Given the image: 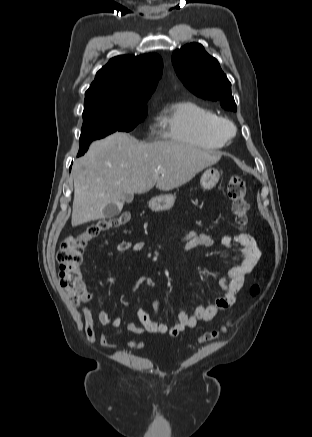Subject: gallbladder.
<instances>
[{
	"label": "gallbladder",
	"instance_id": "bac80fb5",
	"mask_svg": "<svg viewBox=\"0 0 312 437\" xmlns=\"http://www.w3.org/2000/svg\"><path fill=\"white\" fill-rule=\"evenodd\" d=\"M132 200H133V194L126 193L124 195L123 202L125 201L127 203H130V202H132ZM123 202L121 204L109 203L104 209V218L110 219V218L118 216L122 210Z\"/></svg>",
	"mask_w": 312,
	"mask_h": 437
}]
</instances>
